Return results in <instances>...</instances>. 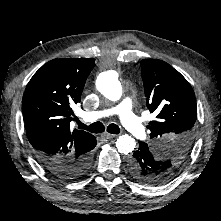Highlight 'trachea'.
<instances>
[{
    "instance_id": "trachea-1",
    "label": "trachea",
    "mask_w": 221,
    "mask_h": 221,
    "mask_svg": "<svg viewBox=\"0 0 221 221\" xmlns=\"http://www.w3.org/2000/svg\"><path fill=\"white\" fill-rule=\"evenodd\" d=\"M78 126L81 129H85L91 133H102L105 130L104 125L101 122H94L93 124L87 126L83 124L82 122L78 121ZM107 132L111 134H118L120 133V128L116 124H109L107 126Z\"/></svg>"
}]
</instances>
